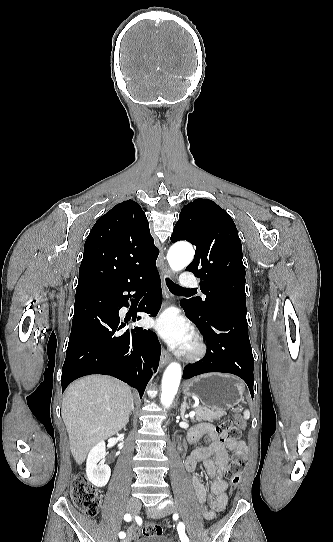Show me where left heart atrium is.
<instances>
[{"label":"left heart atrium","instance_id":"obj_1","mask_svg":"<svg viewBox=\"0 0 333 542\" xmlns=\"http://www.w3.org/2000/svg\"><path fill=\"white\" fill-rule=\"evenodd\" d=\"M154 326L175 351L183 350L191 341L194 333L190 322L180 316L173 308L164 311L157 318Z\"/></svg>","mask_w":333,"mask_h":542}]
</instances>
